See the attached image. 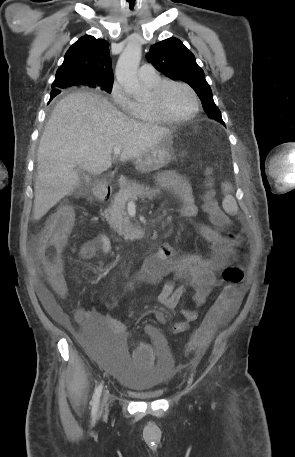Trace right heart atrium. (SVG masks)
<instances>
[{
    "mask_svg": "<svg viewBox=\"0 0 295 457\" xmlns=\"http://www.w3.org/2000/svg\"><path fill=\"white\" fill-rule=\"evenodd\" d=\"M112 101L123 111L132 114L134 101L126 94L121 85L115 82L110 91Z\"/></svg>",
    "mask_w": 295,
    "mask_h": 457,
    "instance_id": "1",
    "label": "right heart atrium"
}]
</instances>
